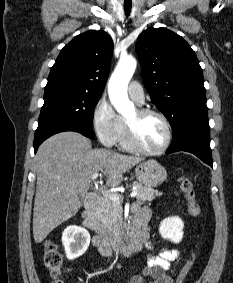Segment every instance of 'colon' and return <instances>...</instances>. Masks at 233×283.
Wrapping results in <instances>:
<instances>
[{"label":"colon","mask_w":233,"mask_h":283,"mask_svg":"<svg viewBox=\"0 0 233 283\" xmlns=\"http://www.w3.org/2000/svg\"><path fill=\"white\" fill-rule=\"evenodd\" d=\"M180 190L188 201V211L190 215L195 217L199 216L201 213V209L196 201V194L193 182L188 179L183 180L180 184ZM195 259L196 256L192 255L191 258L186 262L178 276L177 283H183L187 274L191 270ZM44 264L53 278L52 283H65L62 278L63 257L59 252L57 246L51 241H47L45 243Z\"/></svg>","instance_id":"obj_1"}]
</instances>
